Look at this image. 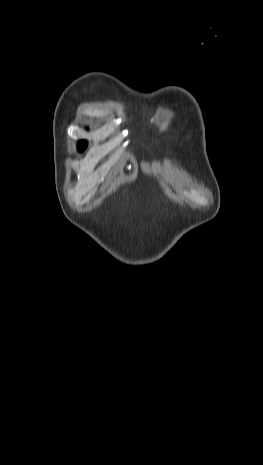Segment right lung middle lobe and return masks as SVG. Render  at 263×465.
<instances>
[{
	"label": "right lung middle lobe",
	"mask_w": 263,
	"mask_h": 465,
	"mask_svg": "<svg viewBox=\"0 0 263 465\" xmlns=\"http://www.w3.org/2000/svg\"><path fill=\"white\" fill-rule=\"evenodd\" d=\"M87 143L85 141H80L78 143V149L83 150L86 147Z\"/></svg>",
	"instance_id": "dd1d6c3e"
}]
</instances>
